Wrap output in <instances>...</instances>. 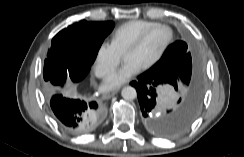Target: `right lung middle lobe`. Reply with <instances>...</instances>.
Returning a JSON list of instances; mask_svg holds the SVG:
<instances>
[{
	"instance_id": "dd1d6c3e",
	"label": "right lung middle lobe",
	"mask_w": 244,
	"mask_h": 157,
	"mask_svg": "<svg viewBox=\"0 0 244 157\" xmlns=\"http://www.w3.org/2000/svg\"><path fill=\"white\" fill-rule=\"evenodd\" d=\"M114 23H75L60 31L53 39L43 70L45 93L52 94L51 86H63L68 75L80 81L90 70L104 38L113 30Z\"/></svg>"
}]
</instances>
